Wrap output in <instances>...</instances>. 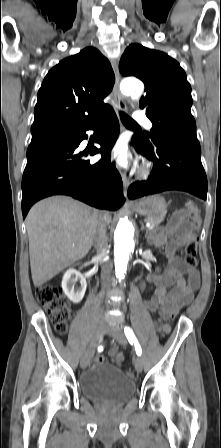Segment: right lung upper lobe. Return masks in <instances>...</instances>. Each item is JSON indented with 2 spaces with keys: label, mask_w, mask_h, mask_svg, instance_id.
Here are the masks:
<instances>
[{
  "label": "right lung upper lobe",
  "mask_w": 221,
  "mask_h": 448,
  "mask_svg": "<svg viewBox=\"0 0 221 448\" xmlns=\"http://www.w3.org/2000/svg\"><path fill=\"white\" fill-rule=\"evenodd\" d=\"M114 82L109 61L96 48L87 47L62 60L48 72L38 91L31 143L96 118L110 107L103 99Z\"/></svg>",
  "instance_id": "cb5924a9"
}]
</instances>
